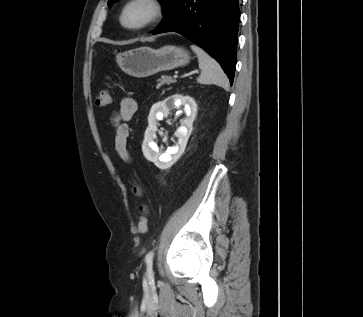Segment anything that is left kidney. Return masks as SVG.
<instances>
[{"label":"left kidney","mask_w":363,"mask_h":317,"mask_svg":"<svg viewBox=\"0 0 363 317\" xmlns=\"http://www.w3.org/2000/svg\"><path fill=\"white\" fill-rule=\"evenodd\" d=\"M185 106L187 117L181 121V126L176 130L175 136L178 138V145L169 148L166 153H161L157 144L153 141L157 131V121L167 117L170 109L174 106ZM181 112V111H180ZM197 113V104L190 96L180 94L172 95L164 101L155 103L148 116L149 126L145 131L142 151L145 158L153 162L160 169L170 168L184 153L189 136L192 132L193 122Z\"/></svg>","instance_id":"left-kidney-1"}]
</instances>
